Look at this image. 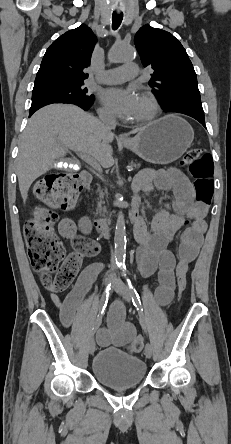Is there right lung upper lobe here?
Here are the masks:
<instances>
[{
	"mask_svg": "<svg viewBox=\"0 0 231 444\" xmlns=\"http://www.w3.org/2000/svg\"><path fill=\"white\" fill-rule=\"evenodd\" d=\"M96 40L85 24L61 35L47 49L34 87L53 83H83L88 78L83 70L90 65Z\"/></svg>",
	"mask_w": 231,
	"mask_h": 444,
	"instance_id": "obj_1",
	"label": "right lung upper lobe"
}]
</instances>
